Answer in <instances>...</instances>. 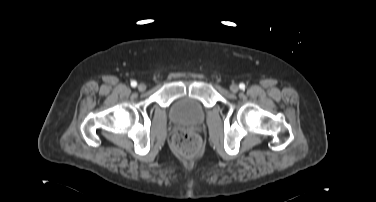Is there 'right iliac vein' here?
Here are the masks:
<instances>
[{
    "mask_svg": "<svg viewBox=\"0 0 376 202\" xmlns=\"http://www.w3.org/2000/svg\"><path fill=\"white\" fill-rule=\"evenodd\" d=\"M145 89H146V85L145 84L141 83V84L138 85V90L139 91L142 92V91H145Z\"/></svg>",
    "mask_w": 376,
    "mask_h": 202,
    "instance_id": "63e3f726",
    "label": "right iliac vein"
}]
</instances>
